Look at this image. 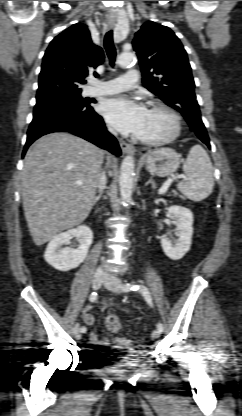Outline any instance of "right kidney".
Segmentation results:
<instances>
[{
	"mask_svg": "<svg viewBox=\"0 0 242 416\" xmlns=\"http://www.w3.org/2000/svg\"><path fill=\"white\" fill-rule=\"evenodd\" d=\"M73 237L78 239V248L62 247L70 244ZM92 241L93 233L86 225L60 233L49 242L44 254L45 261L59 271L74 269L87 257Z\"/></svg>",
	"mask_w": 242,
	"mask_h": 416,
	"instance_id": "1",
	"label": "right kidney"
}]
</instances>
